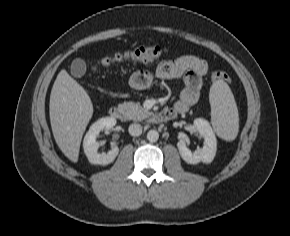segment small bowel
<instances>
[{
  "mask_svg": "<svg viewBox=\"0 0 290 236\" xmlns=\"http://www.w3.org/2000/svg\"><path fill=\"white\" fill-rule=\"evenodd\" d=\"M208 71L209 64L205 58L196 53H188L160 62L153 72L137 71L133 73L130 84L134 89L143 90L155 80L182 78L185 87L174 108L185 111L198 101L203 78Z\"/></svg>",
  "mask_w": 290,
  "mask_h": 236,
  "instance_id": "1",
  "label": "small bowel"
}]
</instances>
